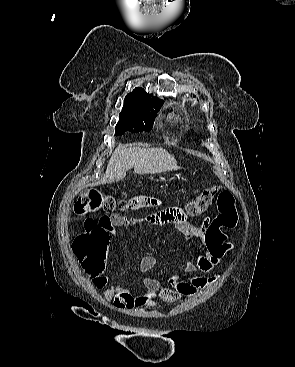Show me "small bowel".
<instances>
[{
	"label": "small bowel",
	"instance_id": "obj_1",
	"mask_svg": "<svg viewBox=\"0 0 295 367\" xmlns=\"http://www.w3.org/2000/svg\"><path fill=\"white\" fill-rule=\"evenodd\" d=\"M155 202L156 199L149 197L134 198L129 201V209L135 210L155 205ZM185 213L184 208H160L159 212H154L153 215L140 219H127L117 214L104 215L100 218L99 224L107 235H113L116 228L126 227L130 223H144L150 226H169L170 223H175V228L185 235L188 243L193 244L198 241L202 248L201 254H190L187 257L186 262L180 268V274L171 277L167 286L147 275L155 268L156 259L151 256L143 257L139 263V271L143 275L141 282L144 292L139 295L132 294L116 283H110L109 278L103 273L91 277L94 286L104 290L103 296L107 302L112 303L118 310L156 307L158 305L157 298L166 303H176L196 295L200 289L210 287L215 283L224 253L214 252L207 244L209 220L206 219L202 225L195 226L186 220ZM129 269L130 267L124 270L121 275ZM197 271L211 273L212 276L210 278L194 276Z\"/></svg>",
	"mask_w": 295,
	"mask_h": 367
}]
</instances>
